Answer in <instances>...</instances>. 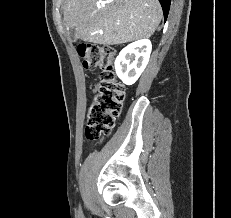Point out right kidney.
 <instances>
[{"label":"right kidney","mask_w":231,"mask_h":218,"mask_svg":"<svg viewBox=\"0 0 231 218\" xmlns=\"http://www.w3.org/2000/svg\"><path fill=\"white\" fill-rule=\"evenodd\" d=\"M152 45L150 40L133 42L121 50L115 60L117 76L126 85H132L148 64Z\"/></svg>","instance_id":"1"}]
</instances>
